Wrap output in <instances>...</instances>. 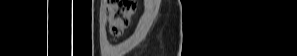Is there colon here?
Wrapping results in <instances>:
<instances>
[{
  "instance_id": "1",
  "label": "colon",
  "mask_w": 297,
  "mask_h": 56,
  "mask_svg": "<svg viewBox=\"0 0 297 56\" xmlns=\"http://www.w3.org/2000/svg\"><path fill=\"white\" fill-rule=\"evenodd\" d=\"M135 9L136 3L133 0H112L108 3L107 19L112 36L118 37L123 34Z\"/></svg>"
}]
</instances>
